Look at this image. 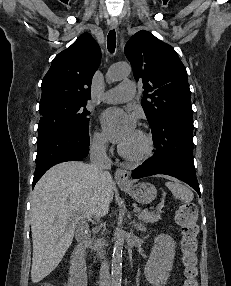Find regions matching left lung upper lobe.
I'll return each mask as SVG.
<instances>
[{
  "mask_svg": "<svg viewBox=\"0 0 231 286\" xmlns=\"http://www.w3.org/2000/svg\"><path fill=\"white\" fill-rule=\"evenodd\" d=\"M124 51L134 78L143 81L142 107L151 128L169 114L192 116L187 72L173 47L141 30Z\"/></svg>",
  "mask_w": 231,
  "mask_h": 286,
  "instance_id": "5c2ea615",
  "label": "left lung upper lobe"
}]
</instances>
